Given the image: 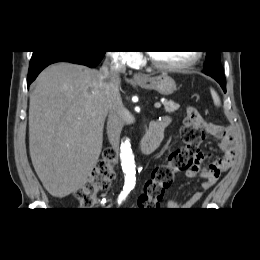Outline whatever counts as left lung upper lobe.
Returning <instances> with one entry per match:
<instances>
[{"instance_id":"1","label":"left lung upper lobe","mask_w":260,"mask_h":260,"mask_svg":"<svg viewBox=\"0 0 260 260\" xmlns=\"http://www.w3.org/2000/svg\"><path fill=\"white\" fill-rule=\"evenodd\" d=\"M204 68L206 70H222V65L220 63V51H207Z\"/></svg>"}]
</instances>
